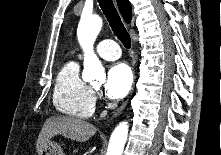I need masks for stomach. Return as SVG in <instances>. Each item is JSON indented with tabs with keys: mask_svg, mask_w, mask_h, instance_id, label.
<instances>
[{
	"mask_svg": "<svg viewBox=\"0 0 221 155\" xmlns=\"http://www.w3.org/2000/svg\"><path fill=\"white\" fill-rule=\"evenodd\" d=\"M40 155H64V153L58 143L49 141Z\"/></svg>",
	"mask_w": 221,
	"mask_h": 155,
	"instance_id": "stomach-1",
	"label": "stomach"
}]
</instances>
